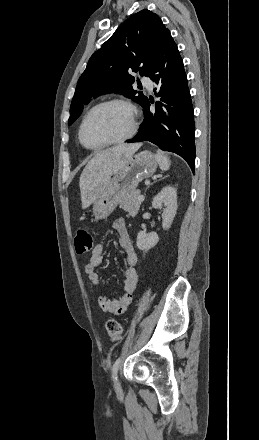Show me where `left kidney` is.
<instances>
[{
    "label": "left kidney",
    "mask_w": 259,
    "mask_h": 440,
    "mask_svg": "<svg viewBox=\"0 0 259 440\" xmlns=\"http://www.w3.org/2000/svg\"><path fill=\"white\" fill-rule=\"evenodd\" d=\"M152 206L155 209L163 208L162 227L163 229H168L171 226L177 211L176 189L170 185L162 188V190L154 197ZM158 241L159 237L157 233H146L145 231H140L137 235L136 245L138 249L148 251L154 247Z\"/></svg>",
    "instance_id": "left-kidney-1"
}]
</instances>
